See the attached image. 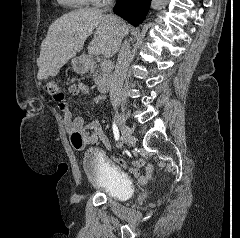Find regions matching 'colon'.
Returning a JSON list of instances; mask_svg holds the SVG:
<instances>
[{
	"label": "colon",
	"instance_id": "1",
	"mask_svg": "<svg viewBox=\"0 0 240 238\" xmlns=\"http://www.w3.org/2000/svg\"><path fill=\"white\" fill-rule=\"evenodd\" d=\"M45 90L46 92L53 96L57 101H62L64 98V93L61 89V87L54 81H48L45 84ZM72 141L76 145H81L83 142V137L81 134L76 133L72 136Z\"/></svg>",
	"mask_w": 240,
	"mask_h": 238
}]
</instances>
